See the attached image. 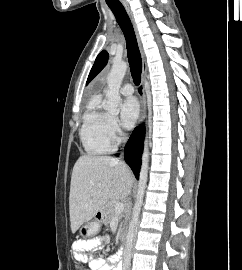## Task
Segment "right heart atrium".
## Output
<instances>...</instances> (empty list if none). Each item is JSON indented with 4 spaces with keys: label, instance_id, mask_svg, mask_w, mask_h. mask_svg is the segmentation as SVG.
Wrapping results in <instances>:
<instances>
[{
    "label": "right heart atrium",
    "instance_id": "1",
    "mask_svg": "<svg viewBox=\"0 0 242 270\" xmlns=\"http://www.w3.org/2000/svg\"><path fill=\"white\" fill-rule=\"evenodd\" d=\"M109 131L114 142H118L123 138V130L116 118L109 119Z\"/></svg>",
    "mask_w": 242,
    "mask_h": 270
}]
</instances>
